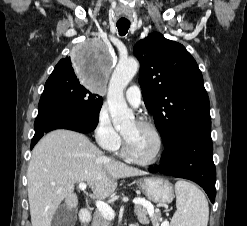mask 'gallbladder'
Instances as JSON below:
<instances>
[{
	"label": "gallbladder",
	"instance_id": "obj_1",
	"mask_svg": "<svg viewBox=\"0 0 247 226\" xmlns=\"http://www.w3.org/2000/svg\"><path fill=\"white\" fill-rule=\"evenodd\" d=\"M76 221V210L68 209L65 205H61L53 215L51 226H75Z\"/></svg>",
	"mask_w": 247,
	"mask_h": 226
}]
</instances>
